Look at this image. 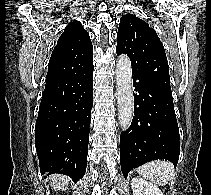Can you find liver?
<instances>
[{"mask_svg": "<svg viewBox=\"0 0 211 195\" xmlns=\"http://www.w3.org/2000/svg\"><path fill=\"white\" fill-rule=\"evenodd\" d=\"M50 180L51 186L58 190H66L69 183V179L64 175H52Z\"/></svg>", "mask_w": 211, "mask_h": 195, "instance_id": "6515ba94", "label": "liver"}]
</instances>
